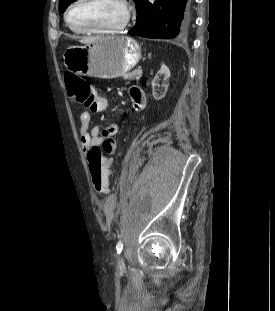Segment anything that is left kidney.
<instances>
[{
	"label": "left kidney",
	"instance_id": "obj_1",
	"mask_svg": "<svg viewBox=\"0 0 275 311\" xmlns=\"http://www.w3.org/2000/svg\"><path fill=\"white\" fill-rule=\"evenodd\" d=\"M162 74L165 77H160V80H159V75H162ZM169 76H170L169 68L166 65H162L161 69L158 71V73L156 74V76L153 79L152 87L154 88L153 89V97L155 100H160L165 96L166 91H167L168 86H169L168 85L169 81H170ZM158 81H160V82H158ZM155 89H165V91L162 92L161 94H158Z\"/></svg>",
	"mask_w": 275,
	"mask_h": 311
}]
</instances>
